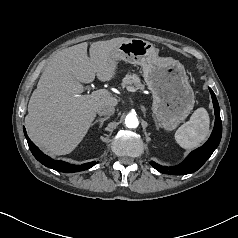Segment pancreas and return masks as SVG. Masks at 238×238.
<instances>
[{"label":"pancreas","mask_w":238,"mask_h":238,"mask_svg":"<svg viewBox=\"0 0 238 238\" xmlns=\"http://www.w3.org/2000/svg\"><path fill=\"white\" fill-rule=\"evenodd\" d=\"M123 88H133L134 90H143L144 89V85L141 83L140 78L138 77V75L136 74H131L128 73L122 80L121 83Z\"/></svg>","instance_id":"1"}]
</instances>
